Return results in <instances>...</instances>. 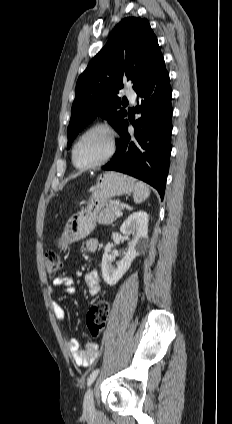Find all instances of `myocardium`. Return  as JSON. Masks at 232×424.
Listing matches in <instances>:
<instances>
[{
    "label": "myocardium",
    "mask_w": 232,
    "mask_h": 424,
    "mask_svg": "<svg viewBox=\"0 0 232 424\" xmlns=\"http://www.w3.org/2000/svg\"><path fill=\"white\" fill-rule=\"evenodd\" d=\"M94 131H102L104 133H106L109 137V149L106 152V154L101 157L99 160L90 163L88 165H79L76 162V149L78 144L80 143V141L89 133L94 132ZM117 149V133L115 131V129L106 123H97L94 124L92 126H90L89 128H87L84 132H82L78 138L75 140L73 147H72V151H71V157H72V162L73 165L80 170H88V169H92L98 166L103 165L104 163H106L107 161H109L113 155L115 154Z\"/></svg>",
    "instance_id": "f54148a6"
}]
</instances>
